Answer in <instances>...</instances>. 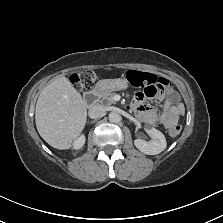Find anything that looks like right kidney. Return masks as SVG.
Segmentation results:
<instances>
[{
  "mask_svg": "<svg viewBox=\"0 0 223 223\" xmlns=\"http://www.w3.org/2000/svg\"><path fill=\"white\" fill-rule=\"evenodd\" d=\"M86 141V136L84 133H81L77 138H75L72 142V144L70 145V150L71 151H80Z\"/></svg>",
  "mask_w": 223,
  "mask_h": 223,
  "instance_id": "1",
  "label": "right kidney"
}]
</instances>
